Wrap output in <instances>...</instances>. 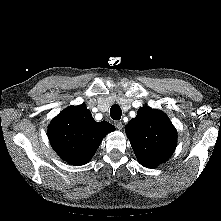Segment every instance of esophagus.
<instances>
[{
    "mask_svg": "<svg viewBox=\"0 0 221 221\" xmlns=\"http://www.w3.org/2000/svg\"><path fill=\"white\" fill-rule=\"evenodd\" d=\"M115 127L118 129V130H122L123 128V124L121 121H116L115 122Z\"/></svg>",
    "mask_w": 221,
    "mask_h": 221,
    "instance_id": "esophagus-1",
    "label": "esophagus"
}]
</instances>
